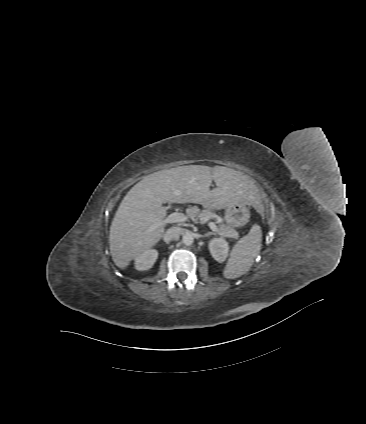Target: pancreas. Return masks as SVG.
<instances>
[{
  "label": "pancreas",
  "mask_w": 366,
  "mask_h": 424,
  "mask_svg": "<svg viewBox=\"0 0 366 424\" xmlns=\"http://www.w3.org/2000/svg\"><path fill=\"white\" fill-rule=\"evenodd\" d=\"M190 217L193 219H203V220H209L215 218L218 223H220L218 232L227 238H238V232H236L231 226L221 224V219L213 213L209 209H204L203 211H200L197 207H193L190 209Z\"/></svg>",
  "instance_id": "obj_1"
}]
</instances>
